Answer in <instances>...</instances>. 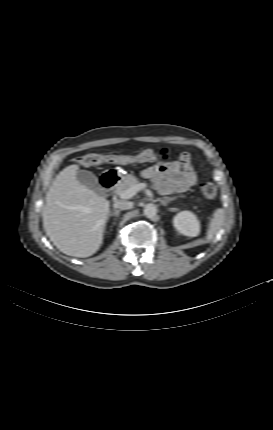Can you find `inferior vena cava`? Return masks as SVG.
Returning <instances> with one entry per match:
<instances>
[{
	"instance_id": "obj_1",
	"label": "inferior vena cava",
	"mask_w": 273,
	"mask_h": 430,
	"mask_svg": "<svg viewBox=\"0 0 273 430\" xmlns=\"http://www.w3.org/2000/svg\"><path fill=\"white\" fill-rule=\"evenodd\" d=\"M133 203L129 201H118L114 204L115 208H119L121 210H127L132 208Z\"/></svg>"
}]
</instances>
